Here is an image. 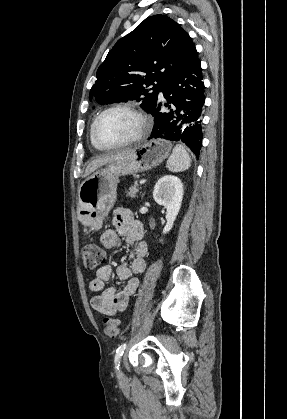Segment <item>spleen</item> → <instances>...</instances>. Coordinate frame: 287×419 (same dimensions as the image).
<instances>
[{"instance_id":"1","label":"spleen","mask_w":287,"mask_h":419,"mask_svg":"<svg viewBox=\"0 0 287 419\" xmlns=\"http://www.w3.org/2000/svg\"><path fill=\"white\" fill-rule=\"evenodd\" d=\"M191 166V157L185 147L176 144L167 160V168L171 172H183Z\"/></svg>"}]
</instances>
